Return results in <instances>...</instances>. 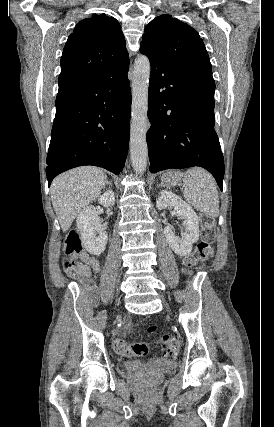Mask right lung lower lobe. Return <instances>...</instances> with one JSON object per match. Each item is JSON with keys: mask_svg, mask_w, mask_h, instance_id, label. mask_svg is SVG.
<instances>
[{"mask_svg": "<svg viewBox=\"0 0 274 427\" xmlns=\"http://www.w3.org/2000/svg\"><path fill=\"white\" fill-rule=\"evenodd\" d=\"M129 65L101 81L56 99L47 155L48 186L58 174L82 165L119 174L129 143Z\"/></svg>", "mask_w": 274, "mask_h": 427, "instance_id": "98d812e1", "label": "right lung lower lobe"}]
</instances>
